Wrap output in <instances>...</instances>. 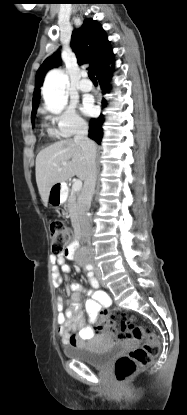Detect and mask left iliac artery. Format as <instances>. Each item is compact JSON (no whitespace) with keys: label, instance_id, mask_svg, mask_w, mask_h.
Listing matches in <instances>:
<instances>
[{"label":"left iliac artery","instance_id":"left-iliac-artery-1","mask_svg":"<svg viewBox=\"0 0 187 415\" xmlns=\"http://www.w3.org/2000/svg\"><path fill=\"white\" fill-rule=\"evenodd\" d=\"M88 277H89L90 282H91V285H92L93 287H98V286H99L98 281H97V280L94 278V276H93V272H89V273H88Z\"/></svg>","mask_w":187,"mask_h":415}]
</instances>
